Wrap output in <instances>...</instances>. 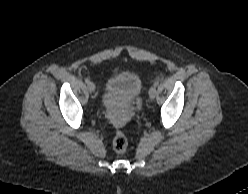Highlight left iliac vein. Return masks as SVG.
Here are the masks:
<instances>
[{
    "label": "left iliac vein",
    "mask_w": 248,
    "mask_h": 194,
    "mask_svg": "<svg viewBox=\"0 0 248 194\" xmlns=\"http://www.w3.org/2000/svg\"><path fill=\"white\" fill-rule=\"evenodd\" d=\"M156 95H157V90H156V88H155V87H151V88L149 89V96H150V98H151V99H154V98L156 97Z\"/></svg>",
    "instance_id": "1"
}]
</instances>
